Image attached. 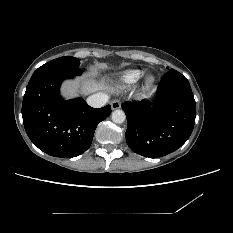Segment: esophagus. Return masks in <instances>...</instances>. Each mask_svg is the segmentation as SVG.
<instances>
[{"label":"esophagus","mask_w":233,"mask_h":233,"mask_svg":"<svg viewBox=\"0 0 233 233\" xmlns=\"http://www.w3.org/2000/svg\"><path fill=\"white\" fill-rule=\"evenodd\" d=\"M121 107V102L120 100L116 99L111 103V108L112 110H117Z\"/></svg>","instance_id":"obj_1"}]
</instances>
